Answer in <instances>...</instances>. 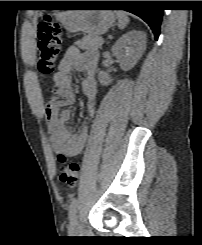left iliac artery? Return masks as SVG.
Wrapping results in <instances>:
<instances>
[{
    "mask_svg": "<svg viewBox=\"0 0 202 245\" xmlns=\"http://www.w3.org/2000/svg\"><path fill=\"white\" fill-rule=\"evenodd\" d=\"M78 206V200L76 198H74L69 206V218L70 220L73 218V216L75 215L76 209Z\"/></svg>",
    "mask_w": 202,
    "mask_h": 245,
    "instance_id": "obj_1",
    "label": "left iliac artery"
}]
</instances>
